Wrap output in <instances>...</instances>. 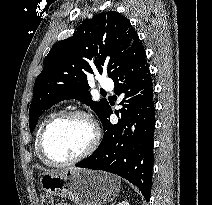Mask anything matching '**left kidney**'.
Masks as SVG:
<instances>
[{"mask_svg": "<svg viewBox=\"0 0 212 205\" xmlns=\"http://www.w3.org/2000/svg\"><path fill=\"white\" fill-rule=\"evenodd\" d=\"M117 205H129V203H128L127 201H122V202H120V203L117 204Z\"/></svg>", "mask_w": 212, "mask_h": 205, "instance_id": "obj_1", "label": "left kidney"}]
</instances>
